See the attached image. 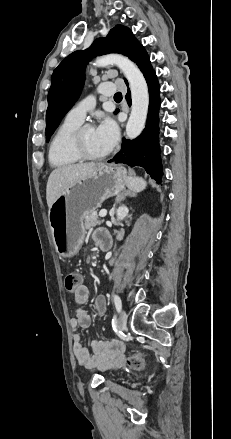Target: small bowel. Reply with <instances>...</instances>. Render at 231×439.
Masks as SVG:
<instances>
[{
    "label": "small bowel",
    "instance_id": "1",
    "mask_svg": "<svg viewBox=\"0 0 231 439\" xmlns=\"http://www.w3.org/2000/svg\"><path fill=\"white\" fill-rule=\"evenodd\" d=\"M94 241L99 245L104 239H109V234L98 229L93 234ZM91 284L79 283L76 287L74 300L76 307L75 316L70 319V328L73 332V351L78 363L85 368H109L118 367L124 359V344L119 341L104 342L93 340L91 342L92 352L83 346L80 329H88L91 324L90 315L82 307L91 296ZM107 310V303L104 296L96 297L94 301V312L98 316H103Z\"/></svg>",
    "mask_w": 231,
    "mask_h": 439
}]
</instances>
